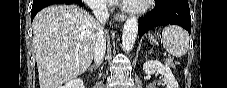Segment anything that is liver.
<instances>
[{
    "label": "liver",
    "mask_w": 227,
    "mask_h": 88,
    "mask_svg": "<svg viewBox=\"0 0 227 88\" xmlns=\"http://www.w3.org/2000/svg\"><path fill=\"white\" fill-rule=\"evenodd\" d=\"M32 28L40 88H60L84 73L102 29L87 11L72 4L42 9Z\"/></svg>",
    "instance_id": "obj_1"
}]
</instances>
